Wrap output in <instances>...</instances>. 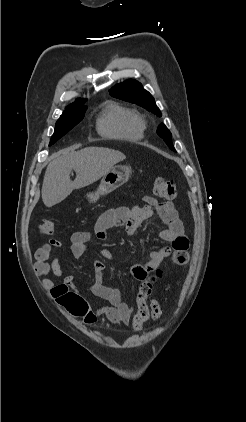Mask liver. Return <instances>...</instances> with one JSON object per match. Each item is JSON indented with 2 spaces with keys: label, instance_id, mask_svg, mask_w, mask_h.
<instances>
[{
  "label": "liver",
  "instance_id": "6515ba94",
  "mask_svg": "<svg viewBox=\"0 0 246 422\" xmlns=\"http://www.w3.org/2000/svg\"><path fill=\"white\" fill-rule=\"evenodd\" d=\"M125 158L120 151L101 147H87L79 151L66 149L55 154L43 180V203L46 207L60 203L73 190L96 182ZM72 170L76 172L74 181L70 179Z\"/></svg>",
  "mask_w": 246,
  "mask_h": 422
}]
</instances>
